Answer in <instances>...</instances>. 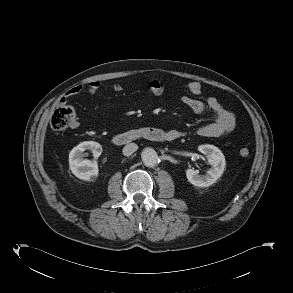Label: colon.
<instances>
[{
  "label": "colon",
  "mask_w": 293,
  "mask_h": 293,
  "mask_svg": "<svg viewBox=\"0 0 293 293\" xmlns=\"http://www.w3.org/2000/svg\"><path fill=\"white\" fill-rule=\"evenodd\" d=\"M75 110L72 106L68 105L66 102L60 101L57 103L52 117H51V127L54 131L62 132L66 130L69 126L73 125L75 122ZM250 151L248 148H241L239 150V155L241 157H248Z\"/></svg>",
  "instance_id": "obj_1"
}]
</instances>
